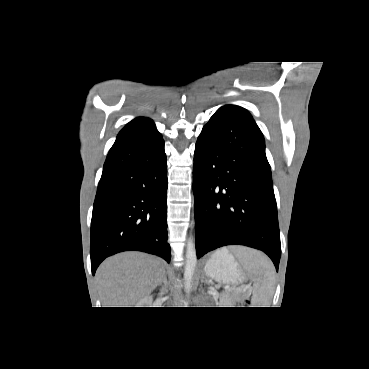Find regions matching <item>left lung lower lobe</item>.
Segmentation results:
<instances>
[{"instance_id": "1", "label": "left lung lower lobe", "mask_w": 369, "mask_h": 369, "mask_svg": "<svg viewBox=\"0 0 369 369\" xmlns=\"http://www.w3.org/2000/svg\"><path fill=\"white\" fill-rule=\"evenodd\" d=\"M193 192L197 257L226 245L265 252L276 270L280 233L262 132L240 110L223 106L199 135Z\"/></svg>"}]
</instances>
